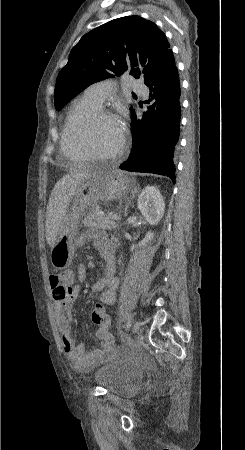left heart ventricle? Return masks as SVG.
I'll return each instance as SVG.
<instances>
[{
	"mask_svg": "<svg viewBox=\"0 0 245 450\" xmlns=\"http://www.w3.org/2000/svg\"><path fill=\"white\" fill-rule=\"evenodd\" d=\"M84 129L82 126L81 131ZM121 125L113 120L99 121L92 132V143L96 151L108 154L115 151L121 142Z\"/></svg>",
	"mask_w": 245,
	"mask_h": 450,
	"instance_id": "obj_1",
	"label": "left heart ventricle"
}]
</instances>
